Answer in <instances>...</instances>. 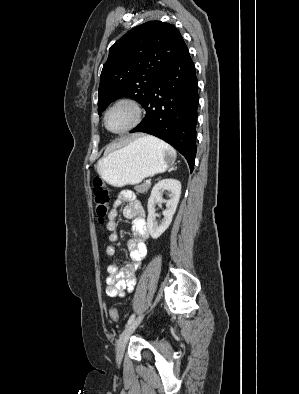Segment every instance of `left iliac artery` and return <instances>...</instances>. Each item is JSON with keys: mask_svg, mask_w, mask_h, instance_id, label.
<instances>
[{"mask_svg": "<svg viewBox=\"0 0 299 394\" xmlns=\"http://www.w3.org/2000/svg\"><path fill=\"white\" fill-rule=\"evenodd\" d=\"M134 319H135V315L132 314V315L130 316V318L128 319L127 325H129ZM127 325H126V326H127Z\"/></svg>", "mask_w": 299, "mask_h": 394, "instance_id": "1", "label": "left iliac artery"}]
</instances>
